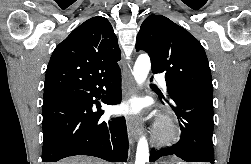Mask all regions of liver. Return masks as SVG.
<instances>
[{"label":"liver","instance_id":"liver-1","mask_svg":"<svg viewBox=\"0 0 251 164\" xmlns=\"http://www.w3.org/2000/svg\"><path fill=\"white\" fill-rule=\"evenodd\" d=\"M57 164H107L99 159L93 157L76 156L64 159Z\"/></svg>","mask_w":251,"mask_h":164}]
</instances>
